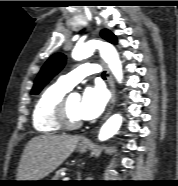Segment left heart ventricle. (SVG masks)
I'll list each match as a JSON object with an SVG mask.
<instances>
[{"instance_id": "obj_1", "label": "left heart ventricle", "mask_w": 178, "mask_h": 186, "mask_svg": "<svg viewBox=\"0 0 178 186\" xmlns=\"http://www.w3.org/2000/svg\"><path fill=\"white\" fill-rule=\"evenodd\" d=\"M79 99L78 98H68L67 107L68 112L72 120L82 121L83 119L79 115Z\"/></svg>"}]
</instances>
